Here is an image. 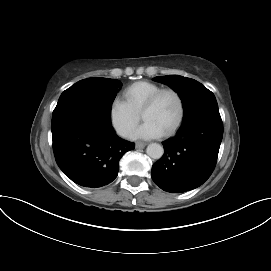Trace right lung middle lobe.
<instances>
[{"mask_svg": "<svg viewBox=\"0 0 271 271\" xmlns=\"http://www.w3.org/2000/svg\"><path fill=\"white\" fill-rule=\"evenodd\" d=\"M122 83L108 78H88L75 83L60 96L51 126L75 117L102 113L111 118V106Z\"/></svg>", "mask_w": 271, "mask_h": 271, "instance_id": "obj_1", "label": "right lung middle lobe"}]
</instances>
